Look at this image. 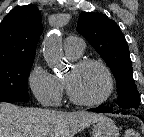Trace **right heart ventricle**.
Masks as SVG:
<instances>
[{
  "instance_id": "e07e8e85",
  "label": "right heart ventricle",
  "mask_w": 144,
  "mask_h": 137,
  "mask_svg": "<svg viewBox=\"0 0 144 137\" xmlns=\"http://www.w3.org/2000/svg\"><path fill=\"white\" fill-rule=\"evenodd\" d=\"M67 55H68V57L70 58V59H76L77 58V56H75V55H72V54H69V53H67ZM62 82V81H61ZM63 84V83H62Z\"/></svg>"
}]
</instances>
